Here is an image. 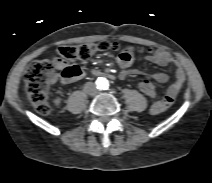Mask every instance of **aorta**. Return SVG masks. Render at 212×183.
<instances>
[{
	"instance_id": "obj_1",
	"label": "aorta",
	"mask_w": 212,
	"mask_h": 183,
	"mask_svg": "<svg viewBox=\"0 0 212 183\" xmlns=\"http://www.w3.org/2000/svg\"><path fill=\"white\" fill-rule=\"evenodd\" d=\"M97 87L101 90H107L109 87V81L104 77H99L96 81Z\"/></svg>"
}]
</instances>
